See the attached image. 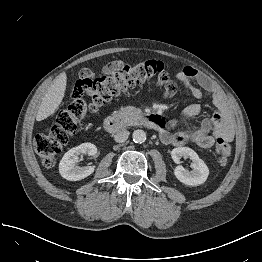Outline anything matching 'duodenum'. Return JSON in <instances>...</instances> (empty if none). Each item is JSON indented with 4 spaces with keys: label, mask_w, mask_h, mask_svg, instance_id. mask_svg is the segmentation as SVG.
Listing matches in <instances>:
<instances>
[{
    "label": "duodenum",
    "mask_w": 262,
    "mask_h": 262,
    "mask_svg": "<svg viewBox=\"0 0 262 262\" xmlns=\"http://www.w3.org/2000/svg\"><path fill=\"white\" fill-rule=\"evenodd\" d=\"M158 123V120L150 118L144 121L143 124L148 128H155L158 125ZM127 125L128 123L123 118L112 116L105 118L103 123L105 131L109 133H115L117 131H120L124 129Z\"/></svg>",
    "instance_id": "obj_1"
}]
</instances>
